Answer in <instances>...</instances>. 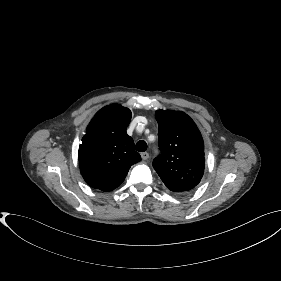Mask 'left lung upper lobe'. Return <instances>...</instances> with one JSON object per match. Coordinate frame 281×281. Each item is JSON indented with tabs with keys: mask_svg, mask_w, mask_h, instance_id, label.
<instances>
[{
	"mask_svg": "<svg viewBox=\"0 0 281 281\" xmlns=\"http://www.w3.org/2000/svg\"><path fill=\"white\" fill-rule=\"evenodd\" d=\"M161 155L153 167L165 186L177 193L193 190L204 173V142L194 121L184 112L158 110Z\"/></svg>",
	"mask_w": 281,
	"mask_h": 281,
	"instance_id": "left-lung-upper-lobe-1",
	"label": "left lung upper lobe"
}]
</instances>
